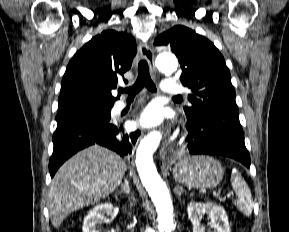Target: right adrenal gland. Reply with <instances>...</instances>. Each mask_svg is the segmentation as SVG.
<instances>
[{
  "mask_svg": "<svg viewBox=\"0 0 289 232\" xmlns=\"http://www.w3.org/2000/svg\"><path fill=\"white\" fill-rule=\"evenodd\" d=\"M118 193H125L127 195H130V185L127 179H124V183L121 184V190Z\"/></svg>",
  "mask_w": 289,
  "mask_h": 232,
  "instance_id": "obj_1",
  "label": "right adrenal gland"
}]
</instances>
